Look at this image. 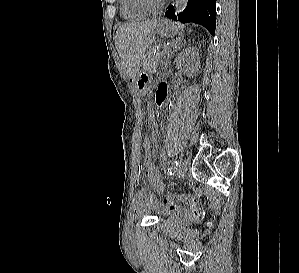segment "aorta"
Returning <instances> with one entry per match:
<instances>
[{
	"label": "aorta",
	"mask_w": 299,
	"mask_h": 273,
	"mask_svg": "<svg viewBox=\"0 0 299 273\" xmlns=\"http://www.w3.org/2000/svg\"><path fill=\"white\" fill-rule=\"evenodd\" d=\"M188 1L189 0H176L174 3L175 13L182 12L186 8Z\"/></svg>",
	"instance_id": "762f6f07"
}]
</instances>
